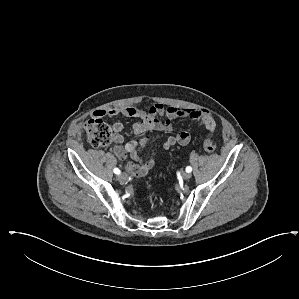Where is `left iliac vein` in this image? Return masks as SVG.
Listing matches in <instances>:
<instances>
[{"label":"left iliac vein","instance_id":"left-iliac-vein-1","mask_svg":"<svg viewBox=\"0 0 299 299\" xmlns=\"http://www.w3.org/2000/svg\"><path fill=\"white\" fill-rule=\"evenodd\" d=\"M182 178H183L184 180H188V179H190V178H191V173H189V172H183V173H182Z\"/></svg>","mask_w":299,"mask_h":299}]
</instances>
